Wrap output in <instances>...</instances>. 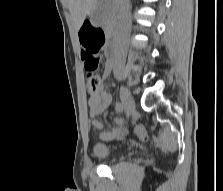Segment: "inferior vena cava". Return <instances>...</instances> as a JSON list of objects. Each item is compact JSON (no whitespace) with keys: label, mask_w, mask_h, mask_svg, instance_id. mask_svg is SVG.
Listing matches in <instances>:
<instances>
[{"label":"inferior vena cava","mask_w":223,"mask_h":191,"mask_svg":"<svg viewBox=\"0 0 223 191\" xmlns=\"http://www.w3.org/2000/svg\"><path fill=\"white\" fill-rule=\"evenodd\" d=\"M119 33L116 40V48L119 52L118 60L114 69L115 74L121 72V60L126 56V41L131 27V17L129 12V0H115Z\"/></svg>","instance_id":"obj_1"}]
</instances>
